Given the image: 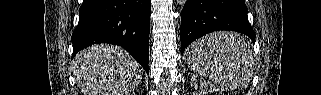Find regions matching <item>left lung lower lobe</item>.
Listing matches in <instances>:
<instances>
[{
  "instance_id": "1",
  "label": "left lung lower lobe",
  "mask_w": 321,
  "mask_h": 95,
  "mask_svg": "<svg viewBox=\"0 0 321 95\" xmlns=\"http://www.w3.org/2000/svg\"><path fill=\"white\" fill-rule=\"evenodd\" d=\"M244 0H187L181 16V54L197 38L219 30L244 33L255 41Z\"/></svg>"
}]
</instances>
